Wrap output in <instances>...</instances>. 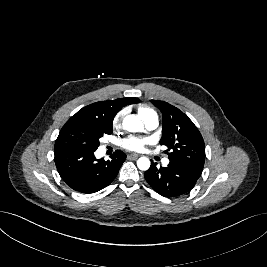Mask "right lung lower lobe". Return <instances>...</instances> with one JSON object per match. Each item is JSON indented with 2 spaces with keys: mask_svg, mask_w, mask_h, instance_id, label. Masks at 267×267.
Masks as SVG:
<instances>
[{
  "mask_svg": "<svg viewBox=\"0 0 267 267\" xmlns=\"http://www.w3.org/2000/svg\"><path fill=\"white\" fill-rule=\"evenodd\" d=\"M55 164L61 178L73 190L94 193L108 186L117 176L126 159L124 152L116 150L111 160H97L94 151H54Z\"/></svg>",
  "mask_w": 267,
  "mask_h": 267,
  "instance_id": "obj_1",
  "label": "right lung lower lobe"
}]
</instances>
